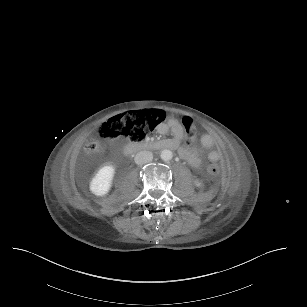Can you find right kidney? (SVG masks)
Listing matches in <instances>:
<instances>
[{
  "label": "right kidney",
  "mask_w": 307,
  "mask_h": 307,
  "mask_svg": "<svg viewBox=\"0 0 307 307\" xmlns=\"http://www.w3.org/2000/svg\"><path fill=\"white\" fill-rule=\"evenodd\" d=\"M115 169L112 165L102 167L90 182V191L96 196L107 194L111 188Z\"/></svg>",
  "instance_id": "ca27d5eb"
}]
</instances>
